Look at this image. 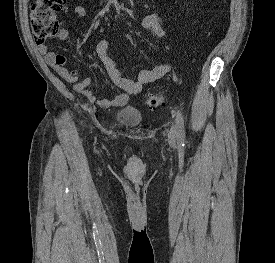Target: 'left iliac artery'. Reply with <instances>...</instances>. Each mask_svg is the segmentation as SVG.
<instances>
[{"label": "left iliac artery", "mask_w": 275, "mask_h": 263, "mask_svg": "<svg viewBox=\"0 0 275 263\" xmlns=\"http://www.w3.org/2000/svg\"><path fill=\"white\" fill-rule=\"evenodd\" d=\"M176 124H177V137L180 142H183L185 140V129H184L183 116L180 111L177 112Z\"/></svg>", "instance_id": "44dca946"}]
</instances>
